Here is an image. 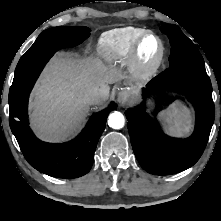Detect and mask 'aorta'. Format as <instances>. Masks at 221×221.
<instances>
[{
    "instance_id": "762f6f07",
    "label": "aorta",
    "mask_w": 221,
    "mask_h": 221,
    "mask_svg": "<svg viewBox=\"0 0 221 221\" xmlns=\"http://www.w3.org/2000/svg\"><path fill=\"white\" fill-rule=\"evenodd\" d=\"M125 119L122 113L113 112L108 117V125L113 129H121L124 126Z\"/></svg>"
}]
</instances>
